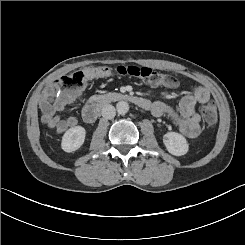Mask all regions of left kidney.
Masks as SVG:
<instances>
[{"label": "left kidney", "instance_id": "1", "mask_svg": "<svg viewBox=\"0 0 245 245\" xmlns=\"http://www.w3.org/2000/svg\"><path fill=\"white\" fill-rule=\"evenodd\" d=\"M163 143L168 152L175 156H182L188 152V143L185 137L176 132H168L163 136Z\"/></svg>", "mask_w": 245, "mask_h": 245}]
</instances>
